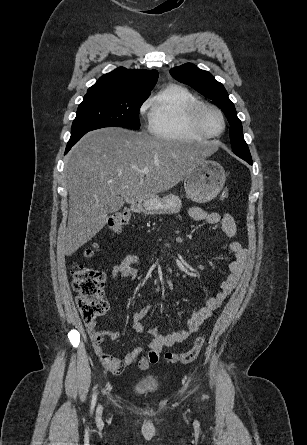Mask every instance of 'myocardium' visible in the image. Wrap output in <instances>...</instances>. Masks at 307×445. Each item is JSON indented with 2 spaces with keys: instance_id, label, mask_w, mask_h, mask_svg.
I'll list each match as a JSON object with an SVG mask.
<instances>
[{
  "instance_id": "myocardium-1",
  "label": "myocardium",
  "mask_w": 307,
  "mask_h": 445,
  "mask_svg": "<svg viewBox=\"0 0 307 445\" xmlns=\"http://www.w3.org/2000/svg\"><path fill=\"white\" fill-rule=\"evenodd\" d=\"M208 110H214V111L218 112L220 114V116L222 117L223 122H224V129L221 133L213 134L209 130V127L206 122V113ZM194 120H195L198 130L203 134V136L209 137V138L220 137L223 133H225L227 126H228V120H227V116H226L225 112L220 107H218L214 104H210V103L200 104L196 108L195 113H194Z\"/></svg>"
}]
</instances>
